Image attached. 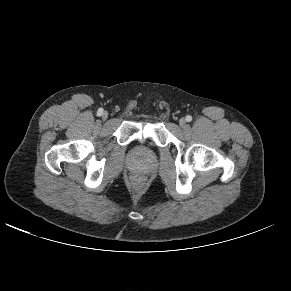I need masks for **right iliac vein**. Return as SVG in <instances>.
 I'll list each match as a JSON object with an SVG mask.
<instances>
[{
	"mask_svg": "<svg viewBox=\"0 0 291 291\" xmlns=\"http://www.w3.org/2000/svg\"><path fill=\"white\" fill-rule=\"evenodd\" d=\"M107 117H108V113H107V112H103V113H102V118H103V119H107Z\"/></svg>",
	"mask_w": 291,
	"mask_h": 291,
	"instance_id": "right-iliac-vein-1",
	"label": "right iliac vein"
}]
</instances>
